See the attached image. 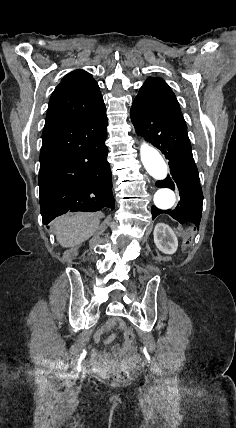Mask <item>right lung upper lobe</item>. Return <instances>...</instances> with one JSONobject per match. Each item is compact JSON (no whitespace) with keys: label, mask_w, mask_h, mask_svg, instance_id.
<instances>
[{"label":"right lung upper lobe","mask_w":236,"mask_h":428,"mask_svg":"<svg viewBox=\"0 0 236 428\" xmlns=\"http://www.w3.org/2000/svg\"><path fill=\"white\" fill-rule=\"evenodd\" d=\"M105 110L97 82L84 70L67 74L54 90L45 126L89 118Z\"/></svg>","instance_id":"cb5924a9"}]
</instances>
